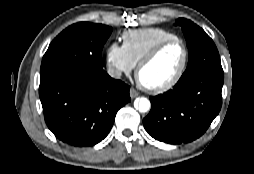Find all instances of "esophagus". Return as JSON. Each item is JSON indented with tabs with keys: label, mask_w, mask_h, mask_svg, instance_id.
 Here are the masks:
<instances>
[{
	"label": "esophagus",
	"mask_w": 254,
	"mask_h": 174,
	"mask_svg": "<svg viewBox=\"0 0 254 174\" xmlns=\"http://www.w3.org/2000/svg\"><path fill=\"white\" fill-rule=\"evenodd\" d=\"M138 95H139V93L134 88L130 89V97L132 99L136 98Z\"/></svg>",
	"instance_id": "obj_1"
}]
</instances>
